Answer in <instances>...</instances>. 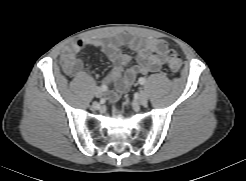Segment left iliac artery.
Listing matches in <instances>:
<instances>
[{
  "mask_svg": "<svg viewBox=\"0 0 246 181\" xmlns=\"http://www.w3.org/2000/svg\"><path fill=\"white\" fill-rule=\"evenodd\" d=\"M138 83L141 84V85H144L146 83V79L144 77H140L138 79Z\"/></svg>",
  "mask_w": 246,
  "mask_h": 181,
  "instance_id": "1",
  "label": "left iliac artery"
}]
</instances>
